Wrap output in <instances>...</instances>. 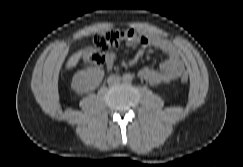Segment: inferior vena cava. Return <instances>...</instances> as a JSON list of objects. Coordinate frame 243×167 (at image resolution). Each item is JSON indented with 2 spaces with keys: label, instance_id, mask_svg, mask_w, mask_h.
I'll list each match as a JSON object with an SVG mask.
<instances>
[{
  "label": "inferior vena cava",
  "instance_id": "1",
  "mask_svg": "<svg viewBox=\"0 0 243 167\" xmlns=\"http://www.w3.org/2000/svg\"><path fill=\"white\" fill-rule=\"evenodd\" d=\"M120 81H121V77L118 75H111L110 77H108V80H107L109 85L118 84V83H120Z\"/></svg>",
  "mask_w": 243,
  "mask_h": 167
}]
</instances>
